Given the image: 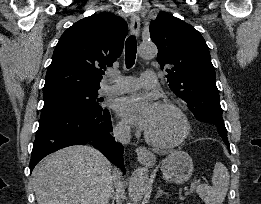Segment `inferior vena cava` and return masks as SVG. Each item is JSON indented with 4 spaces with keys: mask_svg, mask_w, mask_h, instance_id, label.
<instances>
[{
    "mask_svg": "<svg viewBox=\"0 0 261 204\" xmlns=\"http://www.w3.org/2000/svg\"><path fill=\"white\" fill-rule=\"evenodd\" d=\"M114 137L116 141L122 144H128L131 139L130 128L127 126H121L114 129Z\"/></svg>",
    "mask_w": 261,
    "mask_h": 204,
    "instance_id": "obj_1",
    "label": "inferior vena cava"
}]
</instances>
